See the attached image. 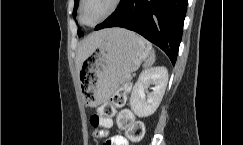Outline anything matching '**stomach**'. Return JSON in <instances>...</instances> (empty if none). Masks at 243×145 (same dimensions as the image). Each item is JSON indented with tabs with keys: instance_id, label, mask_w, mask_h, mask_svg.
Segmentation results:
<instances>
[{
	"instance_id": "stomach-1",
	"label": "stomach",
	"mask_w": 243,
	"mask_h": 145,
	"mask_svg": "<svg viewBox=\"0 0 243 145\" xmlns=\"http://www.w3.org/2000/svg\"><path fill=\"white\" fill-rule=\"evenodd\" d=\"M150 54V45L139 35L114 28L81 67L82 99L96 107L107 102L123 76L135 71Z\"/></svg>"
}]
</instances>
